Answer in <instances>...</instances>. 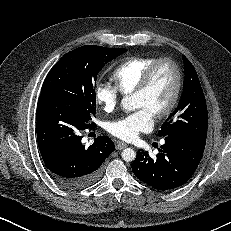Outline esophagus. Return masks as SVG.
Segmentation results:
<instances>
[{"instance_id":"esophagus-1","label":"esophagus","mask_w":231,"mask_h":231,"mask_svg":"<svg viewBox=\"0 0 231 231\" xmlns=\"http://www.w3.org/2000/svg\"><path fill=\"white\" fill-rule=\"evenodd\" d=\"M127 146L128 145L126 143H124V142H117L116 149L122 150V149L126 148Z\"/></svg>"}]
</instances>
